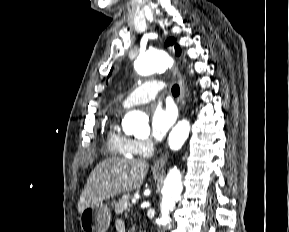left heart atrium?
Here are the masks:
<instances>
[{"mask_svg": "<svg viewBox=\"0 0 289 232\" xmlns=\"http://www.w3.org/2000/svg\"><path fill=\"white\" fill-rule=\"evenodd\" d=\"M175 119L176 113L171 106H155L150 117V129L153 138L162 140L175 122Z\"/></svg>", "mask_w": 289, "mask_h": 232, "instance_id": "1", "label": "left heart atrium"}]
</instances>
